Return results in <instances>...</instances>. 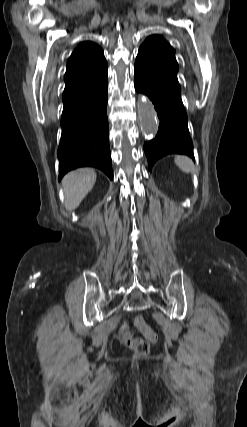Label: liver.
Here are the masks:
<instances>
[{"mask_svg":"<svg viewBox=\"0 0 247 427\" xmlns=\"http://www.w3.org/2000/svg\"><path fill=\"white\" fill-rule=\"evenodd\" d=\"M96 182V172L91 168H80L68 173L62 181L65 208L76 209Z\"/></svg>","mask_w":247,"mask_h":427,"instance_id":"obj_1","label":"liver"}]
</instances>
